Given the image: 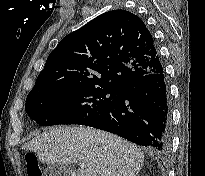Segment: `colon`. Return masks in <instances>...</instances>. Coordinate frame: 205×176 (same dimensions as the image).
<instances>
[{"instance_id":"obj_1","label":"colon","mask_w":205,"mask_h":176,"mask_svg":"<svg viewBox=\"0 0 205 176\" xmlns=\"http://www.w3.org/2000/svg\"><path fill=\"white\" fill-rule=\"evenodd\" d=\"M28 176H42L37 157L33 153H27L24 157Z\"/></svg>"}]
</instances>
